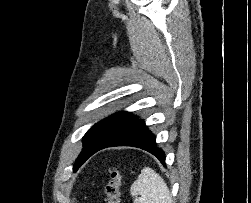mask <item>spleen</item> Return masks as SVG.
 <instances>
[{
	"label": "spleen",
	"instance_id": "obj_1",
	"mask_svg": "<svg viewBox=\"0 0 251 203\" xmlns=\"http://www.w3.org/2000/svg\"><path fill=\"white\" fill-rule=\"evenodd\" d=\"M134 203H172L163 178L149 167L143 168L130 188Z\"/></svg>",
	"mask_w": 251,
	"mask_h": 203
}]
</instances>
